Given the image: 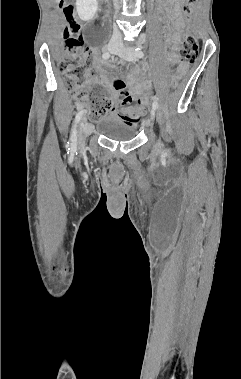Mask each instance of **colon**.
<instances>
[{"instance_id":"obj_1","label":"colon","mask_w":241,"mask_h":379,"mask_svg":"<svg viewBox=\"0 0 241 379\" xmlns=\"http://www.w3.org/2000/svg\"><path fill=\"white\" fill-rule=\"evenodd\" d=\"M197 0H185L183 13L190 19ZM60 7L69 24L66 32V52L59 62V68L63 73L65 85L68 91L78 100L80 106L86 109L87 119L91 122L98 121L103 115L112 111L114 103L111 97L101 88H86L83 83V69L89 53L84 46V40L79 34L80 26L77 23V15L74 5L61 2ZM198 43L195 36L185 33L182 37L181 58L187 65L194 64L198 59ZM181 79H172L171 90L175 91L177 86H181ZM114 85L126 94V88L121 80H116ZM154 87H144L139 93L142 103L150 101L149 96L154 94Z\"/></svg>"}]
</instances>
